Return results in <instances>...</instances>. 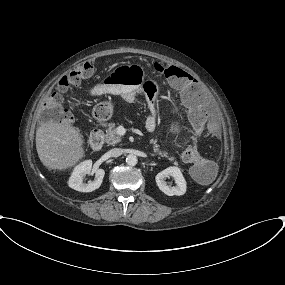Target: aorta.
I'll list each match as a JSON object with an SVG mask.
<instances>
[{
    "instance_id": "aorta-1",
    "label": "aorta",
    "mask_w": 285,
    "mask_h": 285,
    "mask_svg": "<svg viewBox=\"0 0 285 285\" xmlns=\"http://www.w3.org/2000/svg\"><path fill=\"white\" fill-rule=\"evenodd\" d=\"M138 162V159L136 157V155L134 154H129L127 155L126 157V163L129 165V166H135Z\"/></svg>"
}]
</instances>
